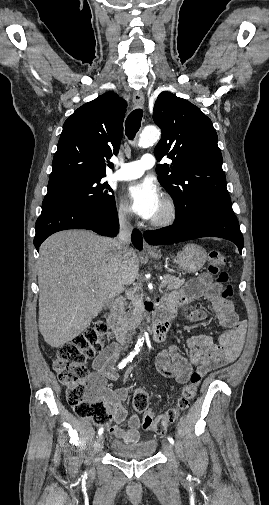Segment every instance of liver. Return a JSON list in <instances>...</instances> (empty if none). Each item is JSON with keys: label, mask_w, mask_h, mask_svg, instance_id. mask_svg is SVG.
Wrapping results in <instances>:
<instances>
[{"label": "liver", "mask_w": 269, "mask_h": 505, "mask_svg": "<svg viewBox=\"0 0 269 505\" xmlns=\"http://www.w3.org/2000/svg\"><path fill=\"white\" fill-rule=\"evenodd\" d=\"M136 252L86 230L53 234L37 262L39 330L57 348L83 332L105 305L138 277Z\"/></svg>", "instance_id": "6515ba94"}]
</instances>
